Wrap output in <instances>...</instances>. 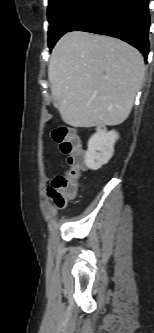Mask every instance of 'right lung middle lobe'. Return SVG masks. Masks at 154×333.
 I'll return each instance as SVG.
<instances>
[{
    "label": "right lung middle lobe",
    "instance_id": "1",
    "mask_svg": "<svg viewBox=\"0 0 154 333\" xmlns=\"http://www.w3.org/2000/svg\"><path fill=\"white\" fill-rule=\"evenodd\" d=\"M99 0H49L48 44L52 50L58 39L70 31L96 5Z\"/></svg>",
    "mask_w": 154,
    "mask_h": 333
}]
</instances>
